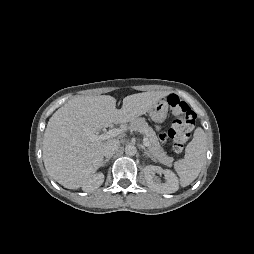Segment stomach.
Returning <instances> with one entry per match:
<instances>
[{
	"mask_svg": "<svg viewBox=\"0 0 254 254\" xmlns=\"http://www.w3.org/2000/svg\"><path fill=\"white\" fill-rule=\"evenodd\" d=\"M148 112H149V116L154 122L163 123L168 113L167 101L159 100Z\"/></svg>",
	"mask_w": 254,
	"mask_h": 254,
	"instance_id": "1",
	"label": "stomach"
}]
</instances>
